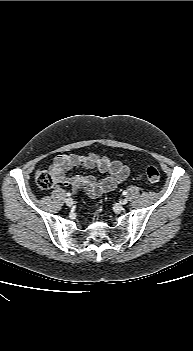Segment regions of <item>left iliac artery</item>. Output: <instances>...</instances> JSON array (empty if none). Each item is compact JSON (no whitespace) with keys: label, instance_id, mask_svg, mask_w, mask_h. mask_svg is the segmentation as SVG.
I'll use <instances>...</instances> for the list:
<instances>
[{"label":"left iliac artery","instance_id":"1","mask_svg":"<svg viewBox=\"0 0 193 351\" xmlns=\"http://www.w3.org/2000/svg\"><path fill=\"white\" fill-rule=\"evenodd\" d=\"M122 194H123V195H126V194H127V192H126V191H123V192H122Z\"/></svg>","mask_w":193,"mask_h":351}]
</instances>
